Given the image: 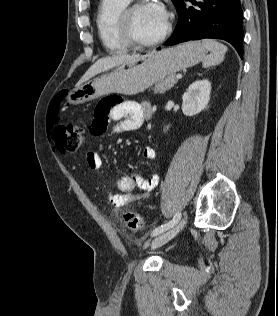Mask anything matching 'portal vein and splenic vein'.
I'll use <instances>...</instances> for the list:
<instances>
[{"mask_svg": "<svg viewBox=\"0 0 278 316\" xmlns=\"http://www.w3.org/2000/svg\"><path fill=\"white\" fill-rule=\"evenodd\" d=\"M176 78H177V79H181V78H182V75H181V74H178V75L176 76Z\"/></svg>", "mask_w": 278, "mask_h": 316, "instance_id": "1", "label": "portal vein and splenic vein"}]
</instances>
